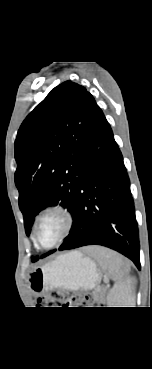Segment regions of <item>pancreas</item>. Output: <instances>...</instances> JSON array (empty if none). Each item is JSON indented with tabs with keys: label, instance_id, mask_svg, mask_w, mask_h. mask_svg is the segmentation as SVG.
<instances>
[{
	"label": "pancreas",
	"instance_id": "cf45deb5",
	"mask_svg": "<svg viewBox=\"0 0 152 369\" xmlns=\"http://www.w3.org/2000/svg\"><path fill=\"white\" fill-rule=\"evenodd\" d=\"M94 298H98V291L94 292Z\"/></svg>",
	"mask_w": 152,
	"mask_h": 369
}]
</instances>
